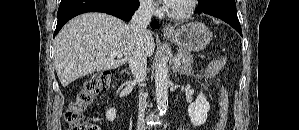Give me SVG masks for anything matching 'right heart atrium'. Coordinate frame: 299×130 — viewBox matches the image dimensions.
<instances>
[{"label":"right heart atrium","instance_id":"right-heart-atrium-1","mask_svg":"<svg viewBox=\"0 0 299 130\" xmlns=\"http://www.w3.org/2000/svg\"><path fill=\"white\" fill-rule=\"evenodd\" d=\"M141 7L144 11L154 13L157 11V5L154 1L145 0L141 2Z\"/></svg>","mask_w":299,"mask_h":130}]
</instances>
